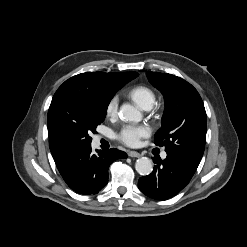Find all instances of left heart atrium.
I'll return each mask as SVG.
<instances>
[{"mask_svg": "<svg viewBox=\"0 0 247 247\" xmlns=\"http://www.w3.org/2000/svg\"><path fill=\"white\" fill-rule=\"evenodd\" d=\"M149 130L141 125H127L119 133V139L126 145L135 147L142 138L147 137Z\"/></svg>", "mask_w": 247, "mask_h": 247, "instance_id": "left-heart-atrium-1", "label": "left heart atrium"}]
</instances>
